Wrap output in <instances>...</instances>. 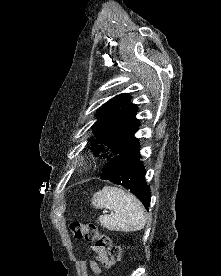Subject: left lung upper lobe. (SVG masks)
<instances>
[{
  "instance_id": "left-lung-upper-lobe-1",
  "label": "left lung upper lobe",
  "mask_w": 221,
  "mask_h": 276,
  "mask_svg": "<svg viewBox=\"0 0 221 276\" xmlns=\"http://www.w3.org/2000/svg\"><path fill=\"white\" fill-rule=\"evenodd\" d=\"M127 93L119 94L101 106L96 114L97 121L91 129L96 137L91 138L92 151L107 161L122 150L134 146L138 139L139 121L135 118L137 105Z\"/></svg>"
}]
</instances>
